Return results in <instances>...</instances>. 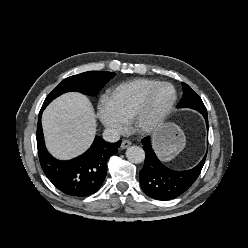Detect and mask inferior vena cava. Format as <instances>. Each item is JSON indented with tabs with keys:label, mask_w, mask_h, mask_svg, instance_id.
Returning a JSON list of instances; mask_svg holds the SVG:
<instances>
[{
	"label": "inferior vena cava",
	"mask_w": 248,
	"mask_h": 248,
	"mask_svg": "<svg viewBox=\"0 0 248 248\" xmlns=\"http://www.w3.org/2000/svg\"><path fill=\"white\" fill-rule=\"evenodd\" d=\"M103 138L107 142H117L120 139V133L113 128H107L103 132Z\"/></svg>",
	"instance_id": "1"
}]
</instances>
